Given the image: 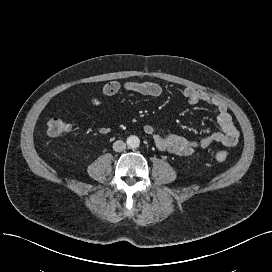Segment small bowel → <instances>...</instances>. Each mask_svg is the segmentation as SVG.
Wrapping results in <instances>:
<instances>
[{
    "label": "small bowel",
    "instance_id": "small-bowel-1",
    "mask_svg": "<svg viewBox=\"0 0 272 272\" xmlns=\"http://www.w3.org/2000/svg\"><path fill=\"white\" fill-rule=\"evenodd\" d=\"M180 89L183 96L187 98L191 104L204 103L214 107L217 111V121L221 130L212 132L200 139L193 140L176 134H161L154 126L146 124L143 127V131L152 138L155 145L160 150L177 156H189L195 149H204L215 143L226 147L234 146L239 140L240 133L228 112L226 103L220 98L188 85H182ZM120 91L156 97L162 93V87L157 83L148 81H126L124 83L112 81L105 84L102 88V92L106 96L115 95ZM97 131L105 135L110 133L111 129L108 126H100L97 128Z\"/></svg>",
    "mask_w": 272,
    "mask_h": 272
}]
</instances>
